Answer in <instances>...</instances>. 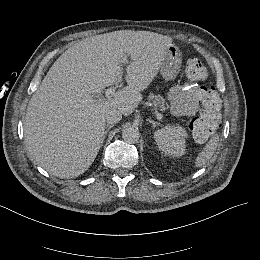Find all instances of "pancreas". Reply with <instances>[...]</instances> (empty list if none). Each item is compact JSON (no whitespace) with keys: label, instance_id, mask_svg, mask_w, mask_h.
<instances>
[{"label":"pancreas","instance_id":"pancreas-1","mask_svg":"<svg viewBox=\"0 0 260 260\" xmlns=\"http://www.w3.org/2000/svg\"><path fill=\"white\" fill-rule=\"evenodd\" d=\"M150 100H152V103L154 107H157L159 111L161 112H167L168 105L165 102V99L162 96H153L151 95Z\"/></svg>","mask_w":260,"mask_h":260}]
</instances>
